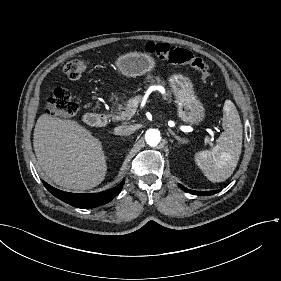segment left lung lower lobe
<instances>
[{"mask_svg":"<svg viewBox=\"0 0 281 281\" xmlns=\"http://www.w3.org/2000/svg\"><path fill=\"white\" fill-rule=\"evenodd\" d=\"M184 191L189 192L191 194H195V195H200V196H206V195H213L217 192H219L220 190H215V191H194V190H190L185 188L182 185H179Z\"/></svg>","mask_w":281,"mask_h":281,"instance_id":"1","label":"left lung lower lobe"}]
</instances>
